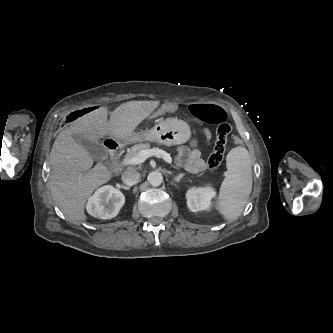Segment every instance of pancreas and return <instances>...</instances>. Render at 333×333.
<instances>
[{"label": "pancreas", "mask_w": 333, "mask_h": 333, "mask_svg": "<svg viewBox=\"0 0 333 333\" xmlns=\"http://www.w3.org/2000/svg\"><path fill=\"white\" fill-rule=\"evenodd\" d=\"M151 145L149 143L136 144L127 152L125 158L135 157L140 151L145 149H150Z\"/></svg>", "instance_id": "obj_1"}]
</instances>
